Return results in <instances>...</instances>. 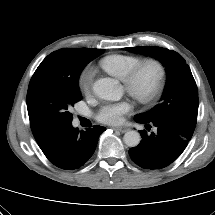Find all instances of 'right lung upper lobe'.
Masks as SVG:
<instances>
[{
  "mask_svg": "<svg viewBox=\"0 0 215 215\" xmlns=\"http://www.w3.org/2000/svg\"><path fill=\"white\" fill-rule=\"evenodd\" d=\"M78 50H92L88 48H77ZM33 132V131H32ZM33 135L40 148H44L48 143H50L56 136H43L33 132Z\"/></svg>",
  "mask_w": 215,
  "mask_h": 215,
  "instance_id": "1",
  "label": "right lung upper lobe"
}]
</instances>
